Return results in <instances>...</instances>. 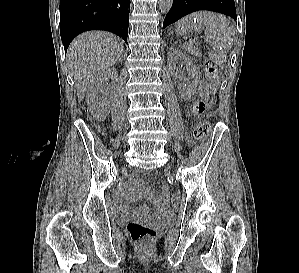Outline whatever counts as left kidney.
I'll return each instance as SVG.
<instances>
[{
    "label": "left kidney",
    "instance_id": "left-kidney-1",
    "mask_svg": "<svg viewBox=\"0 0 299 273\" xmlns=\"http://www.w3.org/2000/svg\"><path fill=\"white\" fill-rule=\"evenodd\" d=\"M178 60L185 61L186 69L191 74V83L188 85L180 82L178 83V90L181 96L184 98H189L196 91L197 84L200 80V69L197 67L193 58L189 57L179 49L172 47L169 49L167 61L170 74L173 76L178 77V72L176 70V62Z\"/></svg>",
    "mask_w": 299,
    "mask_h": 273
}]
</instances>
